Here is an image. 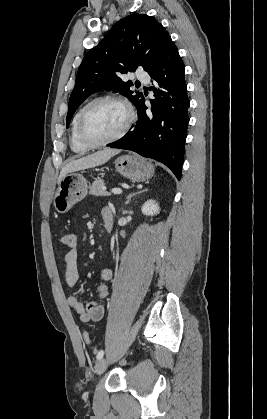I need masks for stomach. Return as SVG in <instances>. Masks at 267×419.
I'll use <instances>...</instances> for the list:
<instances>
[{
	"mask_svg": "<svg viewBox=\"0 0 267 419\" xmlns=\"http://www.w3.org/2000/svg\"><path fill=\"white\" fill-rule=\"evenodd\" d=\"M115 168L125 178L133 182H143L150 179L154 167L146 159L136 155H124L115 160ZM87 181L77 172L67 173L59 182L55 192L53 205L60 213L68 212L74 204L81 201L87 194Z\"/></svg>",
	"mask_w": 267,
	"mask_h": 419,
	"instance_id": "stomach-1",
	"label": "stomach"
}]
</instances>
